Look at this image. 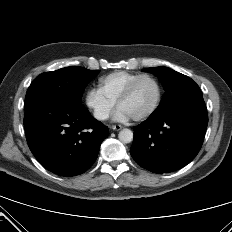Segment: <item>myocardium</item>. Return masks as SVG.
Masks as SVG:
<instances>
[{"label":"myocardium","instance_id":"1","mask_svg":"<svg viewBox=\"0 0 232 232\" xmlns=\"http://www.w3.org/2000/svg\"><path fill=\"white\" fill-rule=\"evenodd\" d=\"M143 79H149L155 84L156 89H157V96H156V100H155L154 104L152 105V107L148 111H146L144 114H142L140 116L133 117V119L136 120V121L145 120V119L151 117L157 111V109H158V107H159V105L161 103V100H162V87H161V84L158 81V79L155 78L153 75H150V74H141L129 84L127 89L119 97V99L117 100L118 108L121 106V104L123 102L128 100L133 95L137 85Z\"/></svg>","mask_w":232,"mask_h":232}]
</instances>
